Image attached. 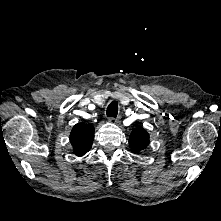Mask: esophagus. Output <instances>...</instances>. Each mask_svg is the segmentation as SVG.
<instances>
[{
  "label": "esophagus",
  "mask_w": 221,
  "mask_h": 221,
  "mask_svg": "<svg viewBox=\"0 0 221 221\" xmlns=\"http://www.w3.org/2000/svg\"><path fill=\"white\" fill-rule=\"evenodd\" d=\"M109 122H110L111 124H116V123H118V118L112 117V118L109 119Z\"/></svg>",
  "instance_id": "34e87169"
}]
</instances>
